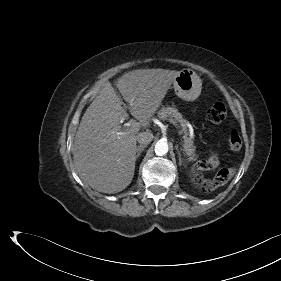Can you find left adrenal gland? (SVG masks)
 <instances>
[{
	"label": "left adrenal gland",
	"mask_w": 281,
	"mask_h": 281,
	"mask_svg": "<svg viewBox=\"0 0 281 281\" xmlns=\"http://www.w3.org/2000/svg\"><path fill=\"white\" fill-rule=\"evenodd\" d=\"M178 157H179V165L181 166L183 164V160L181 158V153L178 151Z\"/></svg>",
	"instance_id": "left-adrenal-gland-1"
}]
</instances>
